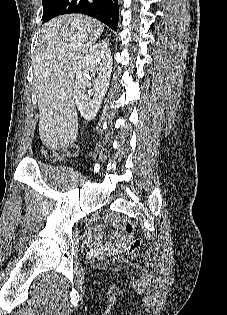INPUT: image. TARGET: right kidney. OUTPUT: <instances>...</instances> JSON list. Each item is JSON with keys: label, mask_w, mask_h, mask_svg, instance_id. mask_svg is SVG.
Here are the masks:
<instances>
[{"label": "right kidney", "mask_w": 227, "mask_h": 315, "mask_svg": "<svg viewBox=\"0 0 227 315\" xmlns=\"http://www.w3.org/2000/svg\"><path fill=\"white\" fill-rule=\"evenodd\" d=\"M96 72L98 77L93 80L90 74L94 75ZM111 72V52L107 42L102 40L89 48L76 72L74 98L85 120L94 119L98 113L109 86ZM91 82H93V90L88 91L87 87L91 86Z\"/></svg>", "instance_id": "ca27d5eb"}]
</instances>
